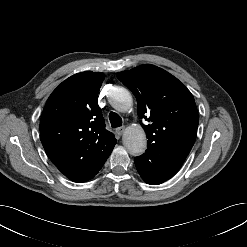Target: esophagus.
Here are the masks:
<instances>
[{
  "mask_svg": "<svg viewBox=\"0 0 247 247\" xmlns=\"http://www.w3.org/2000/svg\"><path fill=\"white\" fill-rule=\"evenodd\" d=\"M125 128L124 127H118L116 128L115 132L117 133V135L121 136L124 132Z\"/></svg>",
  "mask_w": 247,
  "mask_h": 247,
  "instance_id": "34e87169",
  "label": "esophagus"
}]
</instances>
